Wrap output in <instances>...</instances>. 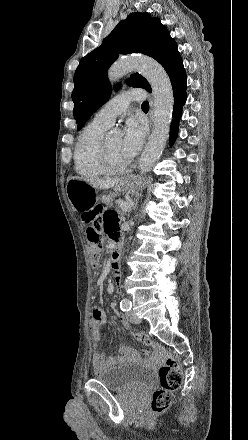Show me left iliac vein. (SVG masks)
I'll return each instance as SVG.
<instances>
[{
    "mask_svg": "<svg viewBox=\"0 0 248 440\" xmlns=\"http://www.w3.org/2000/svg\"><path fill=\"white\" fill-rule=\"evenodd\" d=\"M127 319L134 324H138L141 322L140 318L136 315L135 312L130 311L127 313Z\"/></svg>",
    "mask_w": 248,
    "mask_h": 440,
    "instance_id": "left-iliac-vein-1",
    "label": "left iliac vein"
}]
</instances>
